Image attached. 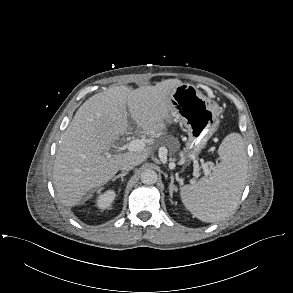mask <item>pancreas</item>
<instances>
[{
	"mask_svg": "<svg viewBox=\"0 0 293 293\" xmlns=\"http://www.w3.org/2000/svg\"><path fill=\"white\" fill-rule=\"evenodd\" d=\"M178 148H179V144L176 147H170V151L176 152Z\"/></svg>",
	"mask_w": 293,
	"mask_h": 293,
	"instance_id": "obj_1",
	"label": "pancreas"
}]
</instances>
